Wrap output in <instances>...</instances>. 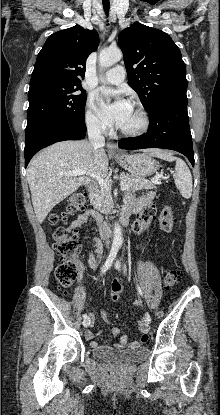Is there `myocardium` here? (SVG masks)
<instances>
[{
  "instance_id": "obj_1",
  "label": "myocardium",
  "mask_w": 220,
  "mask_h": 415,
  "mask_svg": "<svg viewBox=\"0 0 220 415\" xmlns=\"http://www.w3.org/2000/svg\"><path fill=\"white\" fill-rule=\"evenodd\" d=\"M132 107L136 110L140 117V125L135 129H124L119 126L118 130L122 135L136 137L147 132L150 126V117L146 109L141 104L133 102Z\"/></svg>"
}]
</instances>
